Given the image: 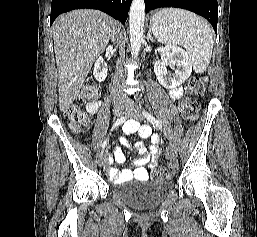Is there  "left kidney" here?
<instances>
[{"label": "left kidney", "instance_id": "left-kidney-1", "mask_svg": "<svg viewBox=\"0 0 257 237\" xmlns=\"http://www.w3.org/2000/svg\"><path fill=\"white\" fill-rule=\"evenodd\" d=\"M166 66L173 68L174 73L169 74ZM154 72L158 82L165 88L172 89L180 86L192 73L188 54L176 45H167L165 47V58L162 61H156Z\"/></svg>", "mask_w": 257, "mask_h": 237}]
</instances>
